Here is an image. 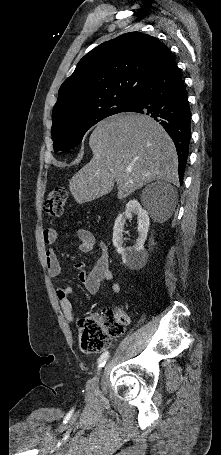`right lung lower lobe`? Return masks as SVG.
Returning a JSON list of instances; mask_svg holds the SVG:
<instances>
[{
  "label": "right lung lower lobe",
  "instance_id": "right-lung-lower-lobe-1",
  "mask_svg": "<svg viewBox=\"0 0 221 455\" xmlns=\"http://www.w3.org/2000/svg\"><path fill=\"white\" fill-rule=\"evenodd\" d=\"M124 112L149 115L168 132L176 147L182 183L189 155L191 112L187 91L171 52L141 86Z\"/></svg>",
  "mask_w": 221,
  "mask_h": 455
}]
</instances>
